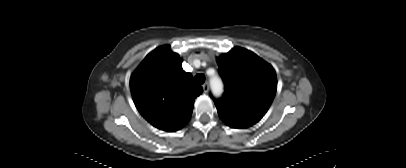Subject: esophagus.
<instances>
[{"instance_id": "1", "label": "esophagus", "mask_w": 406, "mask_h": 168, "mask_svg": "<svg viewBox=\"0 0 406 168\" xmlns=\"http://www.w3.org/2000/svg\"><path fill=\"white\" fill-rule=\"evenodd\" d=\"M203 90L205 93L209 91V84L207 82L203 84Z\"/></svg>"}]
</instances>
